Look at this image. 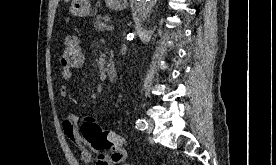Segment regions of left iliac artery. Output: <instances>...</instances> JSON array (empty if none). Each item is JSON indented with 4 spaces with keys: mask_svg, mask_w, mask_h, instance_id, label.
<instances>
[{
    "mask_svg": "<svg viewBox=\"0 0 276 165\" xmlns=\"http://www.w3.org/2000/svg\"><path fill=\"white\" fill-rule=\"evenodd\" d=\"M147 127H148V124H147L146 120H144V119L137 120V122H136V128L138 130H142L143 131V130L147 129Z\"/></svg>",
    "mask_w": 276,
    "mask_h": 165,
    "instance_id": "1",
    "label": "left iliac artery"
}]
</instances>
